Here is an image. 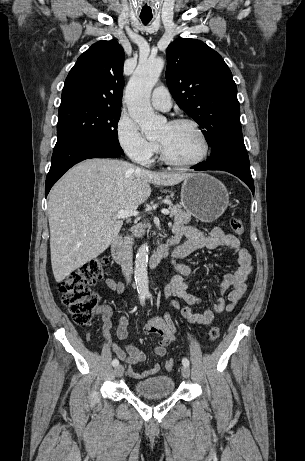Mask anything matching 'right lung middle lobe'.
I'll list each match as a JSON object with an SVG mask.
<instances>
[{
	"label": "right lung middle lobe",
	"instance_id": "right-lung-middle-lobe-1",
	"mask_svg": "<svg viewBox=\"0 0 305 461\" xmlns=\"http://www.w3.org/2000/svg\"><path fill=\"white\" fill-rule=\"evenodd\" d=\"M120 108L98 104H75L59 108L57 145L78 141L103 143L123 153L118 142Z\"/></svg>",
	"mask_w": 305,
	"mask_h": 461
}]
</instances>
